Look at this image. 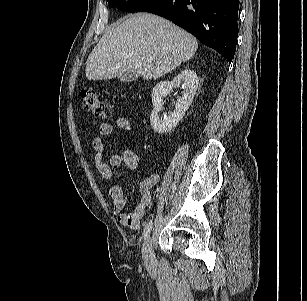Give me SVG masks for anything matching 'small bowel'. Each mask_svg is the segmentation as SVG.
Here are the masks:
<instances>
[{
  "label": "small bowel",
  "mask_w": 307,
  "mask_h": 301,
  "mask_svg": "<svg viewBox=\"0 0 307 301\" xmlns=\"http://www.w3.org/2000/svg\"><path fill=\"white\" fill-rule=\"evenodd\" d=\"M132 128L128 117L117 118L115 125L102 123L99 126V135L92 138L91 144L95 150V165L101 176L107 180L113 179L114 167L124 165L132 171L138 167L140 158L133 150H124L113 154L108 162L103 157L106 151L105 139L110 138L115 132H128ZM158 181L155 173L144 174L139 183V197L128 211H124L128 201V195L121 185H113L109 189V196L113 202V212L117 216L119 223L131 229H138L143 219L147 206L152 198V189Z\"/></svg>",
  "instance_id": "small-bowel-1"
}]
</instances>
